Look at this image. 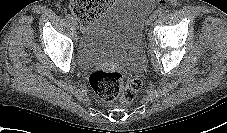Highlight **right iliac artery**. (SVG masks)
<instances>
[{
  "mask_svg": "<svg viewBox=\"0 0 227 133\" xmlns=\"http://www.w3.org/2000/svg\"><path fill=\"white\" fill-rule=\"evenodd\" d=\"M65 18L68 20V21H71L73 19V17L70 15V14H67L65 16Z\"/></svg>",
  "mask_w": 227,
  "mask_h": 133,
  "instance_id": "right-iliac-artery-1",
  "label": "right iliac artery"
}]
</instances>
